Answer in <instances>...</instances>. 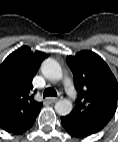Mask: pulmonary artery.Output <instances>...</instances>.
<instances>
[{
  "label": "pulmonary artery",
  "instance_id": "obj_1",
  "mask_svg": "<svg viewBox=\"0 0 118 142\" xmlns=\"http://www.w3.org/2000/svg\"><path fill=\"white\" fill-rule=\"evenodd\" d=\"M65 87H66V90H67L68 94L73 96L74 91H73V88H72V85H71V81L69 79L65 80Z\"/></svg>",
  "mask_w": 118,
  "mask_h": 142
}]
</instances>
